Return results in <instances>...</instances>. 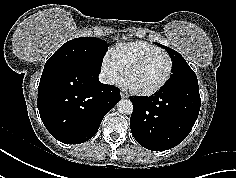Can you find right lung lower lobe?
Here are the masks:
<instances>
[{
  "label": "right lung lower lobe",
  "mask_w": 236,
  "mask_h": 178,
  "mask_svg": "<svg viewBox=\"0 0 236 178\" xmlns=\"http://www.w3.org/2000/svg\"><path fill=\"white\" fill-rule=\"evenodd\" d=\"M99 72L75 62L44 66L37 106L43 124L58 141L79 144L89 140L119 102V90L102 84Z\"/></svg>",
  "instance_id": "obj_1"
}]
</instances>
